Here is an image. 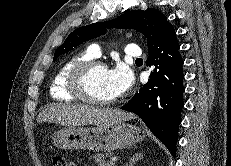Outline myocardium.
Returning <instances> with one entry per match:
<instances>
[{"mask_svg":"<svg viewBox=\"0 0 231 166\" xmlns=\"http://www.w3.org/2000/svg\"><path fill=\"white\" fill-rule=\"evenodd\" d=\"M97 68H106L104 62L100 60H89L76 66L70 73L68 78V88L78 99L85 102L107 106L114 104L117 99H99L90 94L87 88V80L90 74Z\"/></svg>","mask_w":231,"mask_h":166,"instance_id":"f54148a6","label":"myocardium"}]
</instances>
